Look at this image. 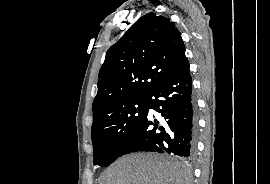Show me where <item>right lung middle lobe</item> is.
Returning a JSON list of instances; mask_svg holds the SVG:
<instances>
[{
  "label": "right lung middle lobe",
  "mask_w": 270,
  "mask_h": 184,
  "mask_svg": "<svg viewBox=\"0 0 270 184\" xmlns=\"http://www.w3.org/2000/svg\"><path fill=\"white\" fill-rule=\"evenodd\" d=\"M147 112V97H139L94 122L91 130L94 165L108 166L114 162Z\"/></svg>",
  "instance_id": "dd1d6c3e"
}]
</instances>
